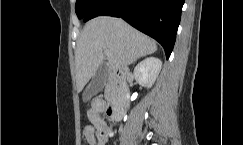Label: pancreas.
<instances>
[{
    "label": "pancreas",
    "instance_id": "obj_1",
    "mask_svg": "<svg viewBox=\"0 0 243 145\" xmlns=\"http://www.w3.org/2000/svg\"><path fill=\"white\" fill-rule=\"evenodd\" d=\"M111 87H112V85H111V83H109L108 86L106 87L107 95H108V92L111 90Z\"/></svg>",
    "mask_w": 243,
    "mask_h": 145
}]
</instances>
